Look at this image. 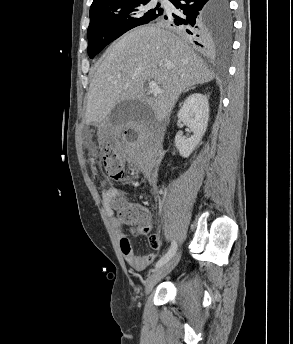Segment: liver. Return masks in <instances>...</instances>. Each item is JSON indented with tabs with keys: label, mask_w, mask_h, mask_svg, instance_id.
<instances>
[{
	"label": "liver",
	"mask_w": 293,
	"mask_h": 344,
	"mask_svg": "<svg viewBox=\"0 0 293 344\" xmlns=\"http://www.w3.org/2000/svg\"><path fill=\"white\" fill-rule=\"evenodd\" d=\"M213 79L203 60L174 33L160 25L139 27L120 38L97 69L85 122L100 125L118 103L128 100L147 104L161 122L183 91ZM146 81H155L163 93L147 97Z\"/></svg>",
	"instance_id": "obj_1"
}]
</instances>
